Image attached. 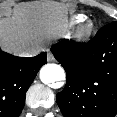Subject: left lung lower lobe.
Wrapping results in <instances>:
<instances>
[{"label":"left lung lower lobe","mask_w":117,"mask_h":117,"mask_svg":"<svg viewBox=\"0 0 117 117\" xmlns=\"http://www.w3.org/2000/svg\"><path fill=\"white\" fill-rule=\"evenodd\" d=\"M67 74L56 95L64 117H114L117 114V21L101 28L84 45L62 40L51 48Z\"/></svg>","instance_id":"left-lung-lower-lobe-1"}]
</instances>
